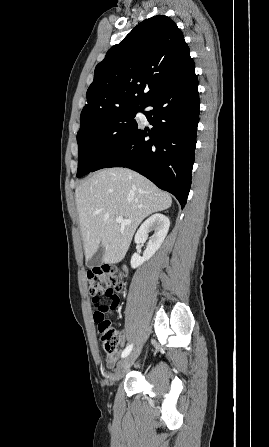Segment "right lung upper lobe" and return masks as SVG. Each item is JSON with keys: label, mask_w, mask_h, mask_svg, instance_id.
<instances>
[{"label": "right lung upper lobe", "mask_w": 269, "mask_h": 447, "mask_svg": "<svg viewBox=\"0 0 269 447\" xmlns=\"http://www.w3.org/2000/svg\"><path fill=\"white\" fill-rule=\"evenodd\" d=\"M192 61L182 32L170 18L146 19L96 66L80 126L106 112L144 104Z\"/></svg>", "instance_id": "obj_1"}]
</instances>
